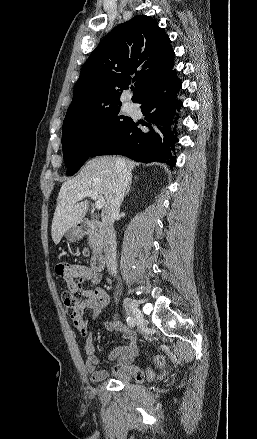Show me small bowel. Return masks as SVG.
Masks as SVG:
<instances>
[{"label":"small bowel","mask_w":257,"mask_h":439,"mask_svg":"<svg viewBox=\"0 0 257 439\" xmlns=\"http://www.w3.org/2000/svg\"><path fill=\"white\" fill-rule=\"evenodd\" d=\"M56 273L64 279L67 287L71 291H80L83 300L78 310L70 315L71 320L79 332L85 339L84 353L86 356L84 367L89 375V379L93 382L104 380L108 377V371L104 369L98 370L97 367L101 363L100 359L95 355V346L89 329V324L84 316L85 310L92 312V320H96L108 307L109 295L99 286L101 275L93 269L77 264H59ZM90 283L93 289H81V284ZM105 328L109 332L119 333L125 343L114 348L108 355L109 360L116 361V373L122 368L130 365L133 358L138 353V346L134 332L122 321L109 319L105 321ZM163 360L161 358V364Z\"/></svg>","instance_id":"1"}]
</instances>
